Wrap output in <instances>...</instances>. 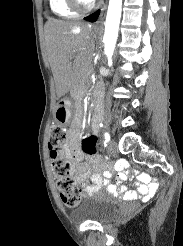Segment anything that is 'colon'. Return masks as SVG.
<instances>
[{"mask_svg":"<svg viewBox=\"0 0 183 246\" xmlns=\"http://www.w3.org/2000/svg\"><path fill=\"white\" fill-rule=\"evenodd\" d=\"M66 119V112H57V120L62 123ZM66 134L60 125H54L49 133V150L52 160V171L56 179V185L62 202L68 208H75L80 204V188L70 175V163L64 157V144ZM82 151L88 157H97V137L96 133H87L82 139ZM145 175V174H143Z\"/></svg>","mask_w":183,"mask_h":246,"instance_id":"1","label":"colon"}]
</instances>
